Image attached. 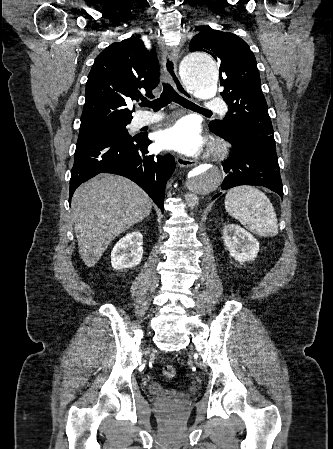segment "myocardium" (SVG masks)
<instances>
[{"label":"myocardium","mask_w":333,"mask_h":449,"mask_svg":"<svg viewBox=\"0 0 333 449\" xmlns=\"http://www.w3.org/2000/svg\"><path fill=\"white\" fill-rule=\"evenodd\" d=\"M224 152H225V150H224L223 148H218V149L215 151V155H216L217 157H222V156L224 155Z\"/></svg>","instance_id":"1"}]
</instances>
